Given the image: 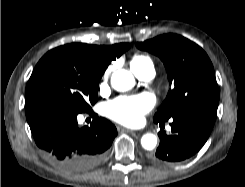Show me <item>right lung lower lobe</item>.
<instances>
[{"label": "right lung lower lobe", "instance_id": "98d812e1", "mask_svg": "<svg viewBox=\"0 0 245 187\" xmlns=\"http://www.w3.org/2000/svg\"><path fill=\"white\" fill-rule=\"evenodd\" d=\"M79 112L66 107H51L27 116L37 146L57 165L71 172L98 166L117 135L115 126L98 117L90 126H79ZM94 116V112H88Z\"/></svg>", "mask_w": 245, "mask_h": 187}]
</instances>
